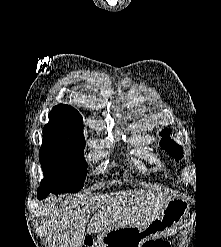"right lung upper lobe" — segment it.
Here are the masks:
<instances>
[{
    "label": "right lung upper lobe",
    "mask_w": 221,
    "mask_h": 247,
    "mask_svg": "<svg viewBox=\"0 0 221 247\" xmlns=\"http://www.w3.org/2000/svg\"><path fill=\"white\" fill-rule=\"evenodd\" d=\"M83 119L80 113L70 105L59 104L49 113V123L43 131L66 133L83 136Z\"/></svg>",
    "instance_id": "right-lung-upper-lobe-1"
}]
</instances>
